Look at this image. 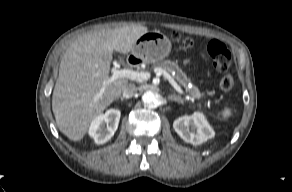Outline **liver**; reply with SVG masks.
I'll return each instance as SVG.
<instances>
[{
	"label": "liver",
	"mask_w": 292,
	"mask_h": 192,
	"mask_svg": "<svg viewBox=\"0 0 292 192\" xmlns=\"http://www.w3.org/2000/svg\"><path fill=\"white\" fill-rule=\"evenodd\" d=\"M147 32L144 26L102 29L79 36L66 49L53 90L52 110L59 130L70 140L83 139L92 121L128 85L126 78L105 84L113 51L129 53Z\"/></svg>",
	"instance_id": "1"
}]
</instances>
